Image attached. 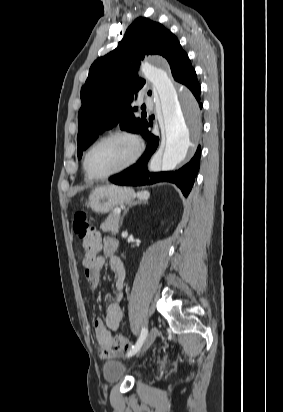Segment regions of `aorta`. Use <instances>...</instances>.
Returning <instances> with one entry per match:
<instances>
[{
    "label": "aorta",
    "instance_id": "1",
    "mask_svg": "<svg viewBox=\"0 0 283 412\" xmlns=\"http://www.w3.org/2000/svg\"><path fill=\"white\" fill-rule=\"evenodd\" d=\"M140 70L153 85L160 101L165 134L161 169L173 170L186 158L196 139L198 107L192 94L186 88L177 89L165 70L148 63L142 64Z\"/></svg>",
    "mask_w": 283,
    "mask_h": 412
}]
</instances>
